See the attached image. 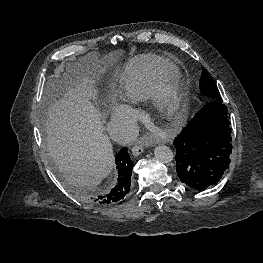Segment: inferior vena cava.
I'll return each instance as SVG.
<instances>
[{
    "label": "inferior vena cava",
    "instance_id": "inferior-vena-cava-1",
    "mask_svg": "<svg viewBox=\"0 0 263 263\" xmlns=\"http://www.w3.org/2000/svg\"><path fill=\"white\" fill-rule=\"evenodd\" d=\"M132 122L126 120H112L107 124L110 138L121 145H129L135 139V129Z\"/></svg>",
    "mask_w": 263,
    "mask_h": 263
}]
</instances>
